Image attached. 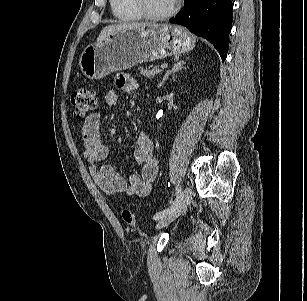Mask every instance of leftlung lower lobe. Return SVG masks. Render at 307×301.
Returning a JSON list of instances; mask_svg holds the SVG:
<instances>
[{"mask_svg":"<svg viewBox=\"0 0 307 301\" xmlns=\"http://www.w3.org/2000/svg\"><path fill=\"white\" fill-rule=\"evenodd\" d=\"M184 8L171 23L186 26L192 33L210 41L222 61L227 57L233 20L231 0H185Z\"/></svg>","mask_w":307,"mask_h":301,"instance_id":"1","label":"left lung lower lobe"}]
</instances>
